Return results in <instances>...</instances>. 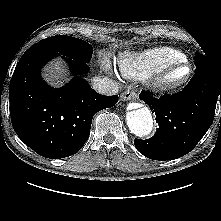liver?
<instances>
[{
    "label": "liver",
    "instance_id": "liver-1",
    "mask_svg": "<svg viewBox=\"0 0 221 221\" xmlns=\"http://www.w3.org/2000/svg\"><path fill=\"white\" fill-rule=\"evenodd\" d=\"M66 76V67L60 60L51 62L44 69V77L52 85H59Z\"/></svg>",
    "mask_w": 221,
    "mask_h": 221
}]
</instances>
